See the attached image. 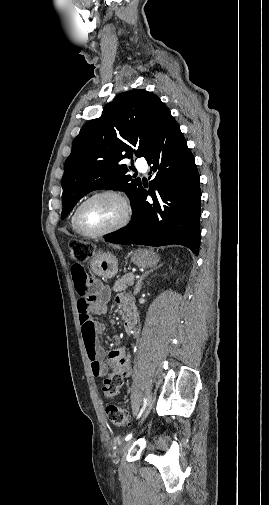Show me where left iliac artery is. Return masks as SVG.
<instances>
[{"label":"left iliac artery","instance_id":"left-iliac-artery-1","mask_svg":"<svg viewBox=\"0 0 269 505\" xmlns=\"http://www.w3.org/2000/svg\"><path fill=\"white\" fill-rule=\"evenodd\" d=\"M146 404H147V400L144 399V407L140 410V413L138 414L137 418H139L142 415V413H143V411L145 409ZM131 438H132V433H129V434L126 435L125 441H129Z\"/></svg>","mask_w":269,"mask_h":505}]
</instances>
